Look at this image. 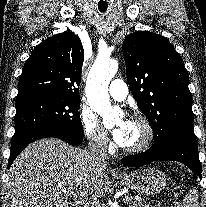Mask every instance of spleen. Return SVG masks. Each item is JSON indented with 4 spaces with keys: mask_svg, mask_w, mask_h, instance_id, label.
I'll use <instances>...</instances> for the list:
<instances>
[{
    "mask_svg": "<svg viewBox=\"0 0 206 207\" xmlns=\"http://www.w3.org/2000/svg\"><path fill=\"white\" fill-rule=\"evenodd\" d=\"M181 207H199V196L196 190L191 189L184 197Z\"/></svg>",
    "mask_w": 206,
    "mask_h": 207,
    "instance_id": "3e777b00",
    "label": "spleen"
}]
</instances>
